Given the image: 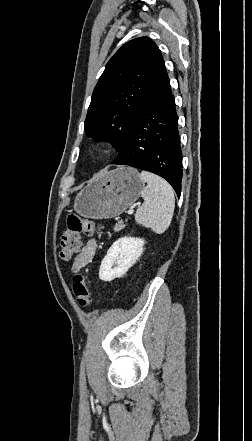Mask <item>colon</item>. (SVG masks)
<instances>
[{"label": "colon", "instance_id": "obj_1", "mask_svg": "<svg viewBox=\"0 0 252 441\" xmlns=\"http://www.w3.org/2000/svg\"><path fill=\"white\" fill-rule=\"evenodd\" d=\"M100 230V226L91 220L69 215L67 218V228L60 240L61 259L69 260L79 250L82 235L93 236L94 234H99ZM72 288L78 304L82 307L87 306L91 297L89 277L81 273L75 274Z\"/></svg>", "mask_w": 252, "mask_h": 441}]
</instances>
